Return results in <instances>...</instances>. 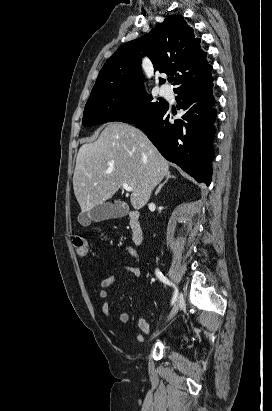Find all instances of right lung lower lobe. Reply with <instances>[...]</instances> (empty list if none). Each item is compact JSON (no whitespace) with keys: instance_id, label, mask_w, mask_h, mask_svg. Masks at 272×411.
Masks as SVG:
<instances>
[{"instance_id":"right-lung-lower-lobe-1","label":"right lung lower lobe","mask_w":272,"mask_h":411,"mask_svg":"<svg viewBox=\"0 0 272 411\" xmlns=\"http://www.w3.org/2000/svg\"><path fill=\"white\" fill-rule=\"evenodd\" d=\"M212 77L198 84L181 87L177 96L179 117L171 122L176 111L168 103L151 117L133 123L145 132L159 152L176 163L199 183H211V161L214 158L213 123L216 110Z\"/></svg>"}]
</instances>
